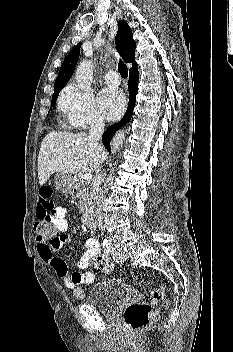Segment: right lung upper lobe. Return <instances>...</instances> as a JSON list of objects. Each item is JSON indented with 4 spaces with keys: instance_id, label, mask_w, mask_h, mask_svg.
Masks as SVG:
<instances>
[{
    "instance_id": "obj_1",
    "label": "right lung upper lobe",
    "mask_w": 233,
    "mask_h": 352,
    "mask_svg": "<svg viewBox=\"0 0 233 352\" xmlns=\"http://www.w3.org/2000/svg\"><path fill=\"white\" fill-rule=\"evenodd\" d=\"M115 44L123 60L126 63H132L133 66L130 69V72L138 70L134 56L135 41L133 40V34L130 27L124 20L118 21V32L115 38ZM80 47L81 43H78L69 52L68 56L65 57L54 84V91L62 89L73 75V71L79 58Z\"/></svg>"
}]
</instances>
